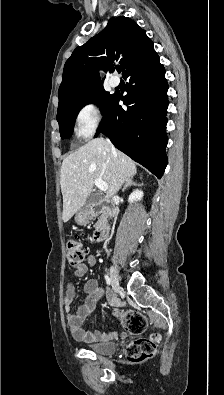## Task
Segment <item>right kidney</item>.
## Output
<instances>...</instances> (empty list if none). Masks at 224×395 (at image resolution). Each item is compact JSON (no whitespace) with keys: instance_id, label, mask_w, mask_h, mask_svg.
Instances as JSON below:
<instances>
[{"instance_id":"1","label":"right kidney","mask_w":224,"mask_h":395,"mask_svg":"<svg viewBox=\"0 0 224 395\" xmlns=\"http://www.w3.org/2000/svg\"><path fill=\"white\" fill-rule=\"evenodd\" d=\"M142 197H143V192L141 190L136 189L129 195L128 202L133 203L134 201H139L142 199Z\"/></svg>"}]
</instances>
